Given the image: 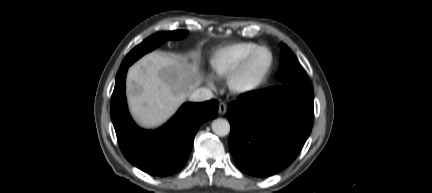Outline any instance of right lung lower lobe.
<instances>
[{
	"label": "right lung lower lobe",
	"instance_id": "right-lung-lower-lobe-1",
	"mask_svg": "<svg viewBox=\"0 0 432 193\" xmlns=\"http://www.w3.org/2000/svg\"><path fill=\"white\" fill-rule=\"evenodd\" d=\"M128 67H121L117 74L111 97L110 115L120 149L130 163L150 175L174 174L186 163L200 125L217 116L218 102L185 103L163 127L143 130L130 117L126 104Z\"/></svg>",
	"mask_w": 432,
	"mask_h": 193
}]
</instances>
